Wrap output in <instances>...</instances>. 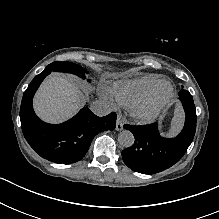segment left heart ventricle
<instances>
[{"label":"left heart ventricle","instance_id":"obj_1","mask_svg":"<svg viewBox=\"0 0 219 219\" xmlns=\"http://www.w3.org/2000/svg\"><path fill=\"white\" fill-rule=\"evenodd\" d=\"M167 90H168L167 85H162L159 89V95L160 96L164 95L167 92Z\"/></svg>","mask_w":219,"mask_h":219}]
</instances>
